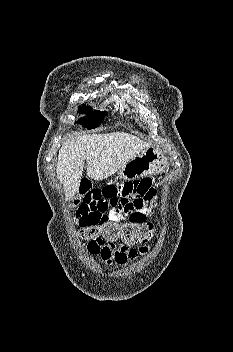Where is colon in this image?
Here are the masks:
<instances>
[{"mask_svg":"<svg viewBox=\"0 0 233 352\" xmlns=\"http://www.w3.org/2000/svg\"><path fill=\"white\" fill-rule=\"evenodd\" d=\"M155 231L156 227L151 222L134 224L105 220L80 224L78 235L88 242L120 240L128 246L148 241Z\"/></svg>","mask_w":233,"mask_h":352,"instance_id":"obj_1","label":"colon"}]
</instances>
